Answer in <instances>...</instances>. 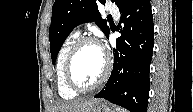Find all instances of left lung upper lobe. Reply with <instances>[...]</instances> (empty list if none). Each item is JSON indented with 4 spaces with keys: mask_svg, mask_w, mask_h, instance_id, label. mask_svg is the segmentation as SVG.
<instances>
[{
    "mask_svg": "<svg viewBox=\"0 0 193 112\" xmlns=\"http://www.w3.org/2000/svg\"><path fill=\"white\" fill-rule=\"evenodd\" d=\"M122 9L130 0H111ZM105 0H56L52 7L49 28L50 52L53 64L62 44L75 26L93 22L108 36L110 29L106 20H101L98 4Z\"/></svg>",
    "mask_w": 193,
    "mask_h": 112,
    "instance_id": "5c2ea615",
    "label": "left lung upper lobe"
}]
</instances>
